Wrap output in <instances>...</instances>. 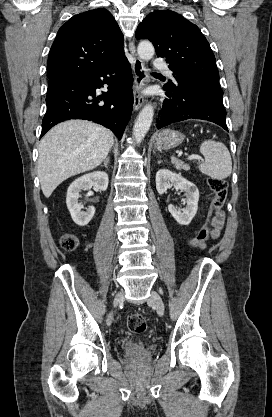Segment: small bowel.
Returning a JSON list of instances; mask_svg holds the SVG:
<instances>
[{
	"label": "small bowel",
	"mask_w": 272,
	"mask_h": 417,
	"mask_svg": "<svg viewBox=\"0 0 272 417\" xmlns=\"http://www.w3.org/2000/svg\"><path fill=\"white\" fill-rule=\"evenodd\" d=\"M225 215L222 210L217 211L212 218L213 229L211 231V238H217L223 228ZM201 245V244H200Z\"/></svg>",
	"instance_id": "c3829d8e"
}]
</instances>
